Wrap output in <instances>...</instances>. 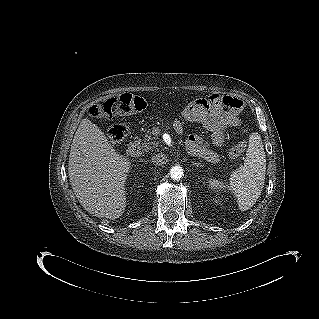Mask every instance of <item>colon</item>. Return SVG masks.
<instances>
[{
	"label": "colon",
	"instance_id": "1",
	"mask_svg": "<svg viewBox=\"0 0 319 319\" xmlns=\"http://www.w3.org/2000/svg\"><path fill=\"white\" fill-rule=\"evenodd\" d=\"M207 103L210 106L222 105L234 111L243 108L244 103L241 99L233 96H221L212 94L208 96ZM145 100L139 96L124 93L118 96L110 97L98 102L89 109V114L94 118H114L134 112H140L145 108ZM128 134V126L125 124L112 125L108 130V137L112 143L123 140ZM246 142L241 141L229 151L230 157L242 155L246 150Z\"/></svg>",
	"mask_w": 319,
	"mask_h": 319
}]
</instances>
